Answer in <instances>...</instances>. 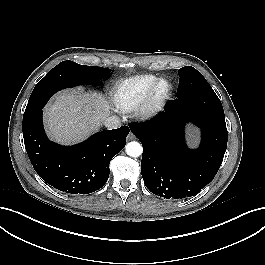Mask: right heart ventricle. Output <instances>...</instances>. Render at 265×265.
Instances as JSON below:
<instances>
[{
	"label": "right heart ventricle",
	"mask_w": 265,
	"mask_h": 265,
	"mask_svg": "<svg viewBox=\"0 0 265 265\" xmlns=\"http://www.w3.org/2000/svg\"><path fill=\"white\" fill-rule=\"evenodd\" d=\"M157 79L155 75L146 74L120 81L113 89V105L118 111L125 113L136 110Z\"/></svg>",
	"instance_id": "obj_1"
}]
</instances>
